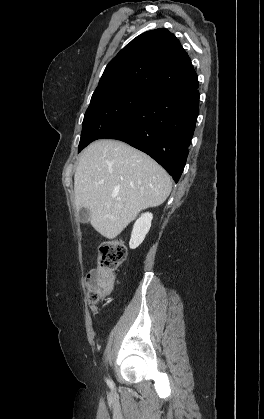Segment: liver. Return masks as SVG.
I'll return each instance as SVG.
<instances>
[{
	"instance_id": "liver-1",
	"label": "liver",
	"mask_w": 264,
	"mask_h": 419,
	"mask_svg": "<svg viewBox=\"0 0 264 419\" xmlns=\"http://www.w3.org/2000/svg\"><path fill=\"white\" fill-rule=\"evenodd\" d=\"M170 176L145 153L117 140H98L81 154L74 175L77 210L107 239L117 237L141 210L161 205Z\"/></svg>"
}]
</instances>
